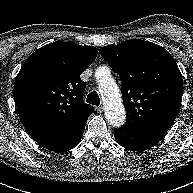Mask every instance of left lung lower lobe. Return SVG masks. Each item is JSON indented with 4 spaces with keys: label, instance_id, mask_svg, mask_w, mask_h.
<instances>
[{
    "label": "left lung lower lobe",
    "instance_id": "1",
    "mask_svg": "<svg viewBox=\"0 0 193 193\" xmlns=\"http://www.w3.org/2000/svg\"><path fill=\"white\" fill-rule=\"evenodd\" d=\"M168 129L119 128L114 130V137L119 145L132 151H144L156 145L167 133Z\"/></svg>",
    "mask_w": 193,
    "mask_h": 193
}]
</instances>
